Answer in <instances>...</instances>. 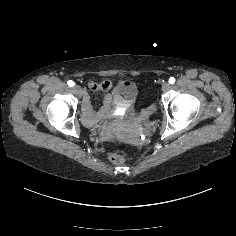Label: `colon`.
Here are the masks:
<instances>
[{
    "instance_id": "5ec220e1",
    "label": "colon",
    "mask_w": 236,
    "mask_h": 236,
    "mask_svg": "<svg viewBox=\"0 0 236 236\" xmlns=\"http://www.w3.org/2000/svg\"><path fill=\"white\" fill-rule=\"evenodd\" d=\"M112 139H116V135L112 134ZM111 161L114 164L121 165L126 162V155L122 152H116L111 155Z\"/></svg>"
}]
</instances>
